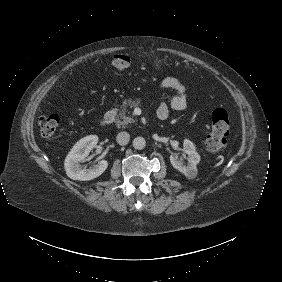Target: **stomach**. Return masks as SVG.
<instances>
[{"instance_id":"0dacf381","label":"stomach","mask_w":282,"mask_h":282,"mask_svg":"<svg viewBox=\"0 0 282 282\" xmlns=\"http://www.w3.org/2000/svg\"><path fill=\"white\" fill-rule=\"evenodd\" d=\"M166 64V58L158 57L152 62V70L157 72L160 71Z\"/></svg>"}]
</instances>
